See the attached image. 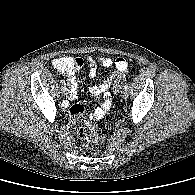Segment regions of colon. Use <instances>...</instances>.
I'll use <instances>...</instances> for the list:
<instances>
[{
  "label": "colon",
  "instance_id": "5ec220e1",
  "mask_svg": "<svg viewBox=\"0 0 195 195\" xmlns=\"http://www.w3.org/2000/svg\"><path fill=\"white\" fill-rule=\"evenodd\" d=\"M53 63L57 69L62 70V71L67 70L71 65L67 57H61V58L55 59ZM126 71H127V68L125 69L124 72ZM125 80H126V77L123 73H120L117 75V77L114 80V86H113L115 94L119 92L120 87L122 86ZM76 135L81 140H89L92 142H99L103 140V137L98 134V129H97L96 124L88 119L84 120L83 127H79L76 130Z\"/></svg>",
  "mask_w": 195,
  "mask_h": 195
}]
</instances>
